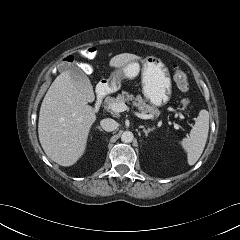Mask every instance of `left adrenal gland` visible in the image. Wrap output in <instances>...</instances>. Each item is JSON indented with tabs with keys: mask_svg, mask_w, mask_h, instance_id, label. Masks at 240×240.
<instances>
[{
	"mask_svg": "<svg viewBox=\"0 0 240 240\" xmlns=\"http://www.w3.org/2000/svg\"><path fill=\"white\" fill-rule=\"evenodd\" d=\"M152 131V128L148 127L147 129L143 127V132L146 136H148V133Z\"/></svg>",
	"mask_w": 240,
	"mask_h": 240,
	"instance_id": "1",
	"label": "left adrenal gland"
}]
</instances>
